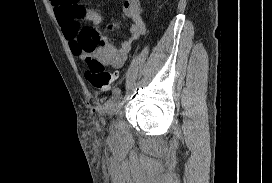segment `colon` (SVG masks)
Listing matches in <instances>:
<instances>
[{"label":"colon","mask_w":272,"mask_h":183,"mask_svg":"<svg viewBox=\"0 0 272 183\" xmlns=\"http://www.w3.org/2000/svg\"><path fill=\"white\" fill-rule=\"evenodd\" d=\"M84 65L85 77L94 90L105 92L113 87L117 75L106 70L102 63L95 59H86Z\"/></svg>","instance_id":"1"}]
</instances>
